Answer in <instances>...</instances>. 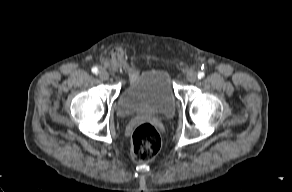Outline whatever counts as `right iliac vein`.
<instances>
[{
    "instance_id": "63e3f726",
    "label": "right iliac vein",
    "mask_w": 292,
    "mask_h": 192,
    "mask_svg": "<svg viewBox=\"0 0 292 192\" xmlns=\"http://www.w3.org/2000/svg\"><path fill=\"white\" fill-rule=\"evenodd\" d=\"M99 78H100L101 80H103V81L108 80V79H109V74H108V72L105 71V70H101V71L99 72Z\"/></svg>"
}]
</instances>
